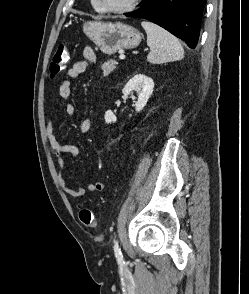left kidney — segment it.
<instances>
[{"mask_svg":"<svg viewBox=\"0 0 249 294\" xmlns=\"http://www.w3.org/2000/svg\"><path fill=\"white\" fill-rule=\"evenodd\" d=\"M154 88V82L150 77L143 74H137L132 77L122 90L125 95H132L133 91L137 92V98L132 95V99L135 100V110L140 112L147 104L150 96L152 95ZM105 122L107 124L117 121L116 116L111 110H107L105 113Z\"/></svg>","mask_w":249,"mask_h":294,"instance_id":"left-kidney-1","label":"left kidney"}]
</instances>
